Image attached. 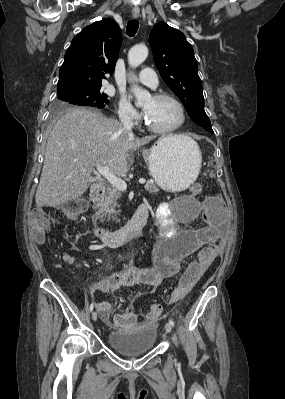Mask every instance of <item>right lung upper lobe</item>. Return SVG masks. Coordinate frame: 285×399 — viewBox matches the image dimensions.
Returning <instances> with one entry per match:
<instances>
[{
	"label": "right lung upper lobe",
	"mask_w": 285,
	"mask_h": 399,
	"mask_svg": "<svg viewBox=\"0 0 285 399\" xmlns=\"http://www.w3.org/2000/svg\"><path fill=\"white\" fill-rule=\"evenodd\" d=\"M121 44L122 31L113 19L85 27L65 53L57 92L101 88L104 75L114 72Z\"/></svg>",
	"instance_id": "right-lung-upper-lobe-1"
}]
</instances>
